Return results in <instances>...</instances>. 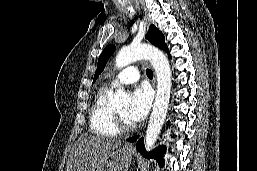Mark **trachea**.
Returning <instances> with one entry per match:
<instances>
[{
    "label": "trachea",
    "mask_w": 257,
    "mask_h": 171,
    "mask_svg": "<svg viewBox=\"0 0 257 171\" xmlns=\"http://www.w3.org/2000/svg\"><path fill=\"white\" fill-rule=\"evenodd\" d=\"M146 74H147L148 78H153V71L151 69H147Z\"/></svg>",
    "instance_id": "1"
}]
</instances>
